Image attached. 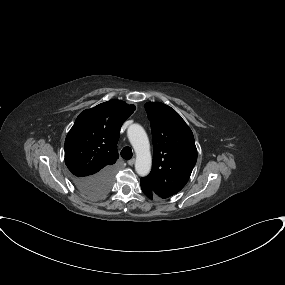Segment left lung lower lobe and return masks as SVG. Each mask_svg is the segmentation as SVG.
Returning <instances> with one entry per match:
<instances>
[{
    "label": "left lung lower lobe",
    "mask_w": 285,
    "mask_h": 285,
    "mask_svg": "<svg viewBox=\"0 0 285 285\" xmlns=\"http://www.w3.org/2000/svg\"><path fill=\"white\" fill-rule=\"evenodd\" d=\"M141 183V189L143 191V193L150 199H153L154 196H156V194L150 189V187L144 182V181H140Z\"/></svg>",
    "instance_id": "0a47b994"
}]
</instances>
